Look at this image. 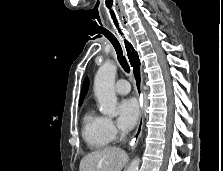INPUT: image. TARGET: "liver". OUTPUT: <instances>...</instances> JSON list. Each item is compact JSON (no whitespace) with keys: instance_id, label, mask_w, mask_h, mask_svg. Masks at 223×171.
<instances>
[{"instance_id":"1","label":"liver","mask_w":223,"mask_h":171,"mask_svg":"<svg viewBox=\"0 0 223 171\" xmlns=\"http://www.w3.org/2000/svg\"><path fill=\"white\" fill-rule=\"evenodd\" d=\"M128 155L117 147H105L82 158L79 171H121Z\"/></svg>"}]
</instances>
